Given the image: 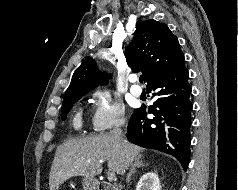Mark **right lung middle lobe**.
<instances>
[{
    "instance_id": "obj_1",
    "label": "right lung middle lobe",
    "mask_w": 238,
    "mask_h": 190,
    "mask_svg": "<svg viewBox=\"0 0 238 190\" xmlns=\"http://www.w3.org/2000/svg\"><path fill=\"white\" fill-rule=\"evenodd\" d=\"M84 94H75L71 96H66L62 105V114L61 117L65 120L66 115L71 109L72 105L81 98Z\"/></svg>"
}]
</instances>
